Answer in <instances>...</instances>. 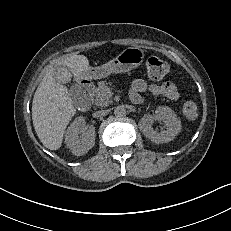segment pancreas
Instances as JSON below:
<instances>
[{
    "label": "pancreas",
    "mask_w": 231,
    "mask_h": 231,
    "mask_svg": "<svg viewBox=\"0 0 231 231\" xmlns=\"http://www.w3.org/2000/svg\"><path fill=\"white\" fill-rule=\"evenodd\" d=\"M111 97L112 92L110 86H108V83L106 81L98 82V87L92 94L93 103L96 106L107 107L112 103Z\"/></svg>",
    "instance_id": "1"
}]
</instances>
